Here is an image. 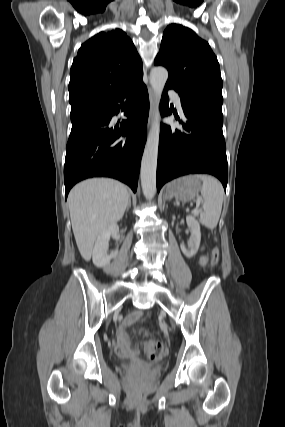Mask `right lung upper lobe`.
Wrapping results in <instances>:
<instances>
[{
    "instance_id": "right-lung-upper-lobe-1",
    "label": "right lung upper lobe",
    "mask_w": 285,
    "mask_h": 427,
    "mask_svg": "<svg viewBox=\"0 0 285 427\" xmlns=\"http://www.w3.org/2000/svg\"><path fill=\"white\" fill-rule=\"evenodd\" d=\"M143 77L142 60L125 32H100L78 51L70 70L71 114L102 103Z\"/></svg>"
}]
</instances>
